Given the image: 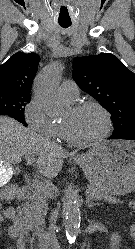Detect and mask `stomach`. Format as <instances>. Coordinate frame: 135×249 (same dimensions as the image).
Instances as JSON below:
<instances>
[{"mask_svg": "<svg viewBox=\"0 0 135 249\" xmlns=\"http://www.w3.org/2000/svg\"><path fill=\"white\" fill-rule=\"evenodd\" d=\"M77 163L91 186L105 194L135 190V142L114 140L92 147Z\"/></svg>", "mask_w": 135, "mask_h": 249, "instance_id": "stomach-1", "label": "stomach"}]
</instances>
